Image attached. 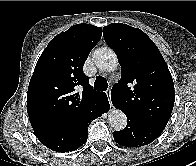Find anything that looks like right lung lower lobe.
I'll list each match as a JSON object with an SVG mask.
<instances>
[{
  "label": "right lung lower lobe",
  "instance_id": "obj_1",
  "mask_svg": "<svg viewBox=\"0 0 196 166\" xmlns=\"http://www.w3.org/2000/svg\"><path fill=\"white\" fill-rule=\"evenodd\" d=\"M109 102L101 97L86 109L84 116L75 126H67L41 132H36V137L49 149L56 152H69L77 150L88 137V126L94 119L109 110Z\"/></svg>",
  "mask_w": 196,
  "mask_h": 166
}]
</instances>
